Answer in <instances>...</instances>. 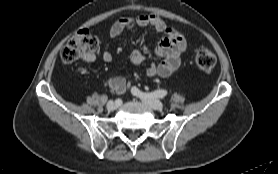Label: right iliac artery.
<instances>
[{
	"mask_svg": "<svg viewBox=\"0 0 278 174\" xmlns=\"http://www.w3.org/2000/svg\"><path fill=\"white\" fill-rule=\"evenodd\" d=\"M115 103H117L118 105H121L122 101H121L120 99H117V100L115 101Z\"/></svg>",
	"mask_w": 278,
	"mask_h": 174,
	"instance_id": "obj_1",
	"label": "right iliac artery"
}]
</instances>
